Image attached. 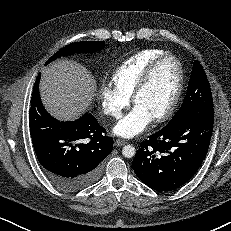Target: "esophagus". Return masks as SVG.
<instances>
[{
  "mask_svg": "<svg viewBox=\"0 0 231 231\" xmlns=\"http://www.w3.org/2000/svg\"><path fill=\"white\" fill-rule=\"evenodd\" d=\"M125 144H127V141L124 139L118 138L115 140V146L121 147V146H124Z\"/></svg>",
  "mask_w": 231,
  "mask_h": 231,
  "instance_id": "34e87169",
  "label": "esophagus"
}]
</instances>
